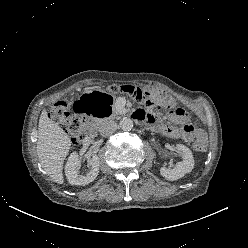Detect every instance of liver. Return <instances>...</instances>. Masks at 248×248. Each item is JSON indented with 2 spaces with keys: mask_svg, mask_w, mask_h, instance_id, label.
I'll use <instances>...</instances> for the list:
<instances>
[{
  "mask_svg": "<svg viewBox=\"0 0 248 248\" xmlns=\"http://www.w3.org/2000/svg\"><path fill=\"white\" fill-rule=\"evenodd\" d=\"M36 148L43 169L54 182L63 184V163L71 148V140L65 131L47 116L45 110L39 119Z\"/></svg>",
  "mask_w": 248,
  "mask_h": 248,
  "instance_id": "1",
  "label": "liver"
}]
</instances>
